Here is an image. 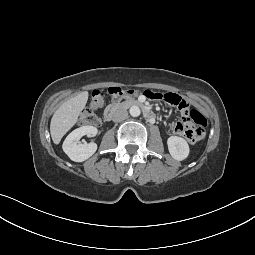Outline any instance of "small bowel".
I'll return each instance as SVG.
<instances>
[{
	"instance_id": "1",
	"label": "small bowel",
	"mask_w": 255,
	"mask_h": 255,
	"mask_svg": "<svg viewBox=\"0 0 255 255\" xmlns=\"http://www.w3.org/2000/svg\"><path fill=\"white\" fill-rule=\"evenodd\" d=\"M172 95L178 97L180 99V105H178L177 107L179 108V110L181 112H183L184 110L186 109H189V104L187 103V101H185L183 98H181L180 96L174 94V93H171ZM181 125L180 122H176L172 125V130L174 132H176L177 128Z\"/></svg>"
}]
</instances>
